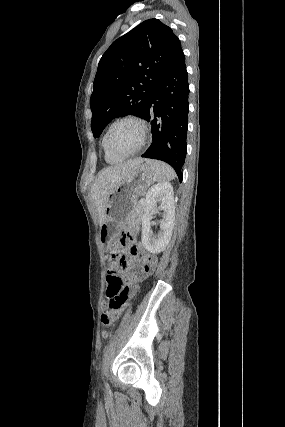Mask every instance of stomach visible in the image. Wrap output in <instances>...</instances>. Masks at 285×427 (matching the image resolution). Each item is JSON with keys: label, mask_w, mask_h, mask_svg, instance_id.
Segmentation results:
<instances>
[{"label": "stomach", "mask_w": 285, "mask_h": 427, "mask_svg": "<svg viewBox=\"0 0 285 427\" xmlns=\"http://www.w3.org/2000/svg\"><path fill=\"white\" fill-rule=\"evenodd\" d=\"M154 180V171L142 162L111 190L107 196L105 220L100 227L101 244L107 245L132 218L137 198Z\"/></svg>", "instance_id": "1"}]
</instances>
